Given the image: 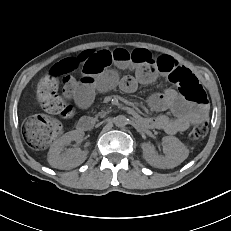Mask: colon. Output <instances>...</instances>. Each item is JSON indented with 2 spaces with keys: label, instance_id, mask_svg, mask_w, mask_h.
I'll use <instances>...</instances> for the list:
<instances>
[{
  "label": "colon",
  "instance_id": "1",
  "mask_svg": "<svg viewBox=\"0 0 231 231\" xmlns=\"http://www.w3.org/2000/svg\"><path fill=\"white\" fill-rule=\"evenodd\" d=\"M139 51L132 52L135 58ZM68 69L60 62L54 64L37 86V102L47 112L33 116L25 127V140L35 150L48 147L59 134L61 125L55 116L66 118L71 115L72 107L58 94L60 82L67 83L69 80ZM170 80L176 84L180 92L188 99L205 103L206 95L203 92L195 76L186 71L178 70L171 74ZM66 92H68L66 90ZM208 125L202 121L196 124L189 133L191 140H199L207 133Z\"/></svg>",
  "mask_w": 231,
  "mask_h": 231
}]
</instances>
